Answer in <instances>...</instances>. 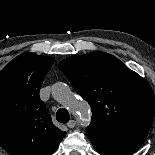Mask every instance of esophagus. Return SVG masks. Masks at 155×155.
Masks as SVG:
<instances>
[{"label": "esophagus", "instance_id": "34e87169", "mask_svg": "<svg viewBox=\"0 0 155 155\" xmlns=\"http://www.w3.org/2000/svg\"><path fill=\"white\" fill-rule=\"evenodd\" d=\"M76 121L75 120H70L68 123H67V126L69 128H74L76 126Z\"/></svg>", "mask_w": 155, "mask_h": 155}]
</instances>
